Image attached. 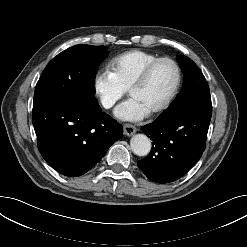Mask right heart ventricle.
<instances>
[{"mask_svg":"<svg viewBox=\"0 0 247 247\" xmlns=\"http://www.w3.org/2000/svg\"><path fill=\"white\" fill-rule=\"evenodd\" d=\"M158 56L141 51L131 50L115 57L109 64L113 79L127 90L144 67Z\"/></svg>","mask_w":247,"mask_h":247,"instance_id":"obj_1","label":"right heart ventricle"}]
</instances>
